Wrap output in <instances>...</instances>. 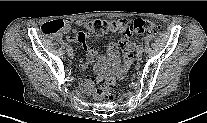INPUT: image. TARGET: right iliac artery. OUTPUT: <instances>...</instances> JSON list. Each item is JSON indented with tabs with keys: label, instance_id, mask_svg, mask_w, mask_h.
Here are the masks:
<instances>
[{
	"label": "right iliac artery",
	"instance_id": "obj_1",
	"mask_svg": "<svg viewBox=\"0 0 207 123\" xmlns=\"http://www.w3.org/2000/svg\"><path fill=\"white\" fill-rule=\"evenodd\" d=\"M70 50H72L71 46L67 45V51H70Z\"/></svg>",
	"mask_w": 207,
	"mask_h": 123
}]
</instances>
